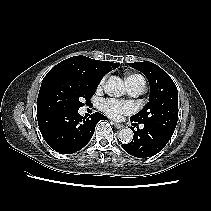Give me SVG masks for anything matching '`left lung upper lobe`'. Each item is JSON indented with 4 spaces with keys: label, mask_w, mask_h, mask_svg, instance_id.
Returning <instances> with one entry per match:
<instances>
[{
    "label": "left lung upper lobe",
    "mask_w": 211,
    "mask_h": 211,
    "mask_svg": "<svg viewBox=\"0 0 211 211\" xmlns=\"http://www.w3.org/2000/svg\"><path fill=\"white\" fill-rule=\"evenodd\" d=\"M128 65L141 71L150 84L149 102L130 120L173 135L178 120V91L173 80L152 62H135Z\"/></svg>",
    "instance_id": "1"
}]
</instances>
